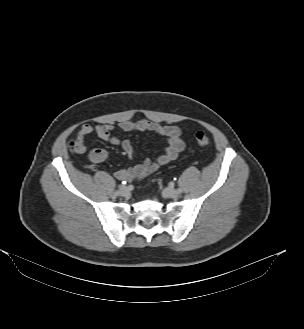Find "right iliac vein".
<instances>
[{
  "mask_svg": "<svg viewBox=\"0 0 304 329\" xmlns=\"http://www.w3.org/2000/svg\"><path fill=\"white\" fill-rule=\"evenodd\" d=\"M119 195H121V196H127V195H129L128 188L125 187V186H121L120 187V190H119Z\"/></svg>",
  "mask_w": 304,
  "mask_h": 329,
  "instance_id": "right-iliac-vein-1",
  "label": "right iliac vein"
}]
</instances>
